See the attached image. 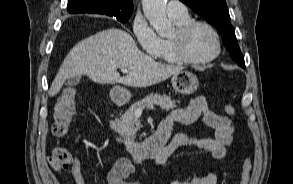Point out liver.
<instances>
[{"instance_id": "1", "label": "liver", "mask_w": 293, "mask_h": 184, "mask_svg": "<svg viewBox=\"0 0 293 184\" xmlns=\"http://www.w3.org/2000/svg\"><path fill=\"white\" fill-rule=\"evenodd\" d=\"M129 74L120 77L117 69ZM183 70L179 65L160 64L137 48L129 33L110 28L77 43L65 57L54 78L49 96L59 93L64 82L74 75H87L96 83H122L147 87L160 83Z\"/></svg>"}]
</instances>
